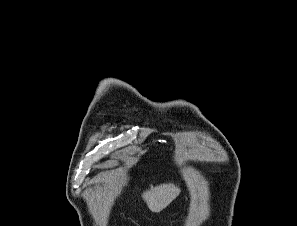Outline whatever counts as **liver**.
<instances>
[{
  "instance_id": "liver-1",
  "label": "liver",
  "mask_w": 297,
  "mask_h": 226,
  "mask_svg": "<svg viewBox=\"0 0 297 226\" xmlns=\"http://www.w3.org/2000/svg\"><path fill=\"white\" fill-rule=\"evenodd\" d=\"M180 188L173 183L161 184L151 187L143 193L142 197L146 201L148 208L155 213L165 209L180 193Z\"/></svg>"
}]
</instances>
